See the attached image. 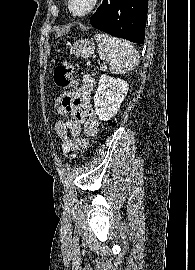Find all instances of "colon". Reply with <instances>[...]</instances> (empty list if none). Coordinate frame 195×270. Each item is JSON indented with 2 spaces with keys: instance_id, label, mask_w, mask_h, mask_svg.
Returning <instances> with one entry per match:
<instances>
[{
  "instance_id": "colon-1",
  "label": "colon",
  "mask_w": 195,
  "mask_h": 270,
  "mask_svg": "<svg viewBox=\"0 0 195 270\" xmlns=\"http://www.w3.org/2000/svg\"><path fill=\"white\" fill-rule=\"evenodd\" d=\"M53 80L58 87L68 89L56 99V109L69 108L76 99L78 89V84L73 78L72 65L67 61H62L54 72ZM79 147L85 152L88 149V141L86 139H81L79 141Z\"/></svg>"
}]
</instances>
